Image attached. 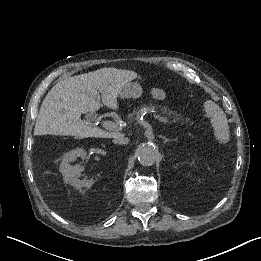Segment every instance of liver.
Instances as JSON below:
<instances>
[{"instance_id":"1","label":"liver","mask_w":261,"mask_h":261,"mask_svg":"<svg viewBox=\"0 0 261 261\" xmlns=\"http://www.w3.org/2000/svg\"><path fill=\"white\" fill-rule=\"evenodd\" d=\"M137 78L129 70L100 69L75 75L56 83L43 100L36 119L34 135H60L77 138H114L119 132H107L81 120L93 114L102 102L114 109L121 89Z\"/></svg>"}]
</instances>
